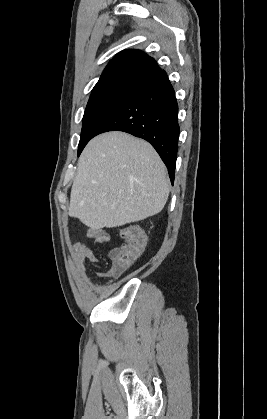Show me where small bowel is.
Masks as SVG:
<instances>
[{"mask_svg":"<svg viewBox=\"0 0 267 419\" xmlns=\"http://www.w3.org/2000/svg\"><path fill=\"white\" fill-rule=\"evenodd\" d=\"M87 237L93 239L97 243H104L109 239V234L104 229H91L87 232ZM73 256L79 275L88 283L90 278L86 271L87 264H92L97 261L91 248L83 244L82 242H76L73 244ZM97 275L102 278H109L111 280L118 276V273L114 272L111 268L107 271L98 272ZM95 289L101 288L100 285H95Z\"/></svg>","mask_w":267,"mask_h":419,"instance_id":"c3829d8e","label":"small bowel"}]
</instances>
